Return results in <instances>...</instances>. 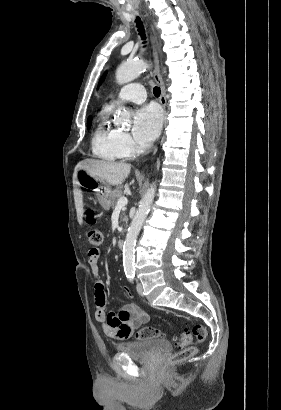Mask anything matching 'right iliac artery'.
I'll list each match as a JSON object with an SVG mask.
<instances>
[{"label":"right iliac artery","mask_w":281,"mask_h":410,"mask_svg":"<svg viewBox=\"0 0 281 410\" xmlns=\"http://www.w3.org/2000/svg\"><path fill=\"white\" fill-rule=\"evenodd\" d=\"M126 276H127V278L129 279V281H133L134 274H128V275H126Z\"/></svg>","instance_id":"1"}]
</instances>
